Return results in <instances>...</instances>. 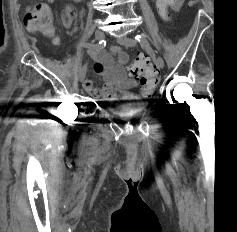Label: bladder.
<instances>
[{"label": "bladder", "mask_w": 237, "mask_h": 232, "mask_svg": "<svg viewBox=\"0 0 237 232\" xmlns=\"http://www.w3.org/2000/svg\"><path fill=\"white\" fill-rule=\"evenodd\" d=\"M104 107L115 116L128 117L136 114L143 107L142 100L112 101L105 102Z\"/></svg>", "instance_id": "obj_1"}]
</instances>
